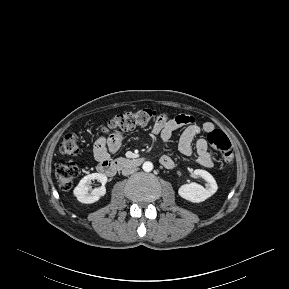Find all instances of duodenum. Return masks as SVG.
Instances as JSON below:
<instances>
[{
  "label": "duodenum",
  "mask_w": 289,
  "mask_h": 289,
  "mask_svg": "<svg viewBox=\"0 0 289 289\" xmlns=\"http://www.w3.org/2000/svg\"><path fill=\"white\" fill-rule=\"evenodd\" d=\"M145 162L144 157H133V158H117L114 160L105 159L98 163L97 170L99 173L105 176H113L118 171L133 168L142 165Z\"/></svg>",
  "instance_id": "1"
}]
</instances>
